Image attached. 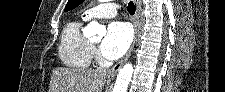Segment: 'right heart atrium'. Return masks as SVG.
<instances>
[{
  "label": "right heart atrium",
  "instance_id": "d8ad5b80",
  "mask_svg": "<svg viewBox=\"0 0 225 92\" xmlns=\"http://www.w3.org/2000/svg\"><path fill=\"white\" fill-rule=\"evenodd\" d=\"M94 55H96V51L94 50Z\"/></svg>",
  "mask_w": 225,
  "mask_h": 92
}]
</instances>
